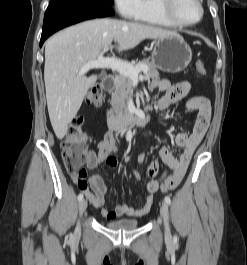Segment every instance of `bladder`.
<instances>
[{
  "mask_svg": "<svg viewBox=\"0 0 247 265\" xmlns=\"http://www.w3.org/2000/svg\"><path fill=\"white\" fill-rule=\"evenodd\" d=\"M140 222L135 219H119L114 221H108L105 226L114 231H130L138 228Z\"/></svg>",
  "mask_w": 247,
  "mask_h": 265,
  "instance_id": "31cf9c89",
  "label": "bladder"
}]
</instances>
